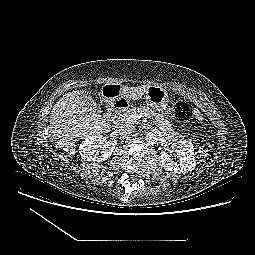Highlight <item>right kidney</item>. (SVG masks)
Masks as SVG:
<instances>
[{
    "label": "right kidney",
    "instance_id": "obj_1",
    "mask_svg": "<svg viewBox=\"0 0 255 255\" xmlns=\"http://www.w3.org/2000/svg\"><path fill=\"white\" fill-rule=\"evenodd\" d=\"M117 145V140L108 139L102 135H93L85 138L79 146L82 159L92 162H102L111 157ZM98 148H103L99 155Z\"/></svg>",
    "mask_w": 255,
    "mask_h": 255
}]
</instances>
